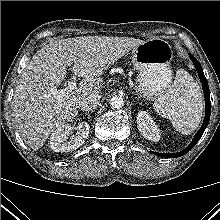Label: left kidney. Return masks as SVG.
<instances>
[{
  "label": "left kidney",
  "instance_id": "left-kidney-1",
  "mask_svg": "<svg viewBox=\"0 0 220 220\" xmlns=\"http://www.w3.org/2000/svg\"><path fill=\"white\" fill-rule=\"evenodd\" d=\"M137 127L141 135L153 142L160 139V130L153 121L152 117L146 111H139L137 114Z\"/></svg>",
  "mask_w": 220,
  "mask_h": 220
}]
</instances>
